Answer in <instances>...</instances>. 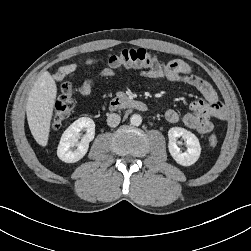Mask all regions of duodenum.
I'll return each instance as SVG.
<instances>
[{
	"label": "duodenum",
	"mask_w": 251,
	"mask_h": 251,
	"mask_svg": "<svg viewBox=\"0 0 251 251\" xmlns=\"http://www.w3.org/2000/svg\"><path fill=\"white\" fill-rule=\"evenodd\" d=\"M108 108L110 111H116L119 109L146 111L147 105L140 100L129 99L126 97H116L109 102Z\"/></svg>",
	"instance_id": "1"
}]
</instances>
